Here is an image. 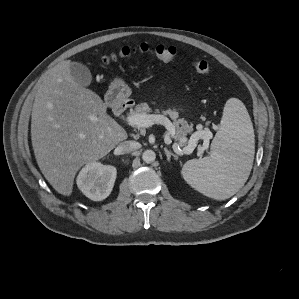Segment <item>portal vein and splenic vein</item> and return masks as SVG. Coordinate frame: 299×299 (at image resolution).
Returning a JSON list of instances; mask_svg holds the SVG:
<instances>
[{
  "instance_id": "portal-vein-and-splenic-vein-1",
  "label": "portal vein and splenic vein",
  "mask_w": 299,
  "mask_h": 299,
  "mask_svg": "<svg viewBox=\"0 0 299 299\" xmlns=\"http://www.w3.org/2000/svg\"><path fill=\"white\" fill-rule=\"evenodd\" d=\"M125 121L131 125L136 126L138 128H147L154 124H161L165 126L167 132L164 135V141L166 144L171 143V136L175 134V128L172 122L160 114H136L129 115L126 117ZM202 135L206 136V134L202 133ZM196 147L195 140H191L190 144L183 149L184 154H191ZM205 150V147H200L198 150L199 154H202V151Z\"/></svg>"
}]
</instances>
